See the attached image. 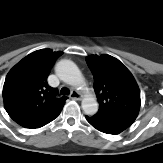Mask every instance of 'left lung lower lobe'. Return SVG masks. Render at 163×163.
I'll use <instances>...</instances> for the list:
<instances>
[{
    "label": "left lung lower lobe",
    "instance_id": "0a47b994",
    "mask_svg": "<svg viewBox=\"0 0 163 163\" xmlns=\"http://www.w3.org/2000/svg\"><path fill=\"white\" fill-rule=\"evenodd\" d=\"M87 121L97 130L107 134H119L129 127L134 120L101 116H86Z\"/></svg>",
    "mask_w": 163,
    "mask_h": 163
}]
</instances>
